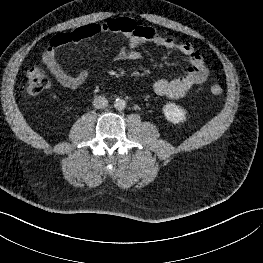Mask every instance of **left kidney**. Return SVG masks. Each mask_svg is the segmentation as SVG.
<instances>
[{
	"label": "left kidney",
	"mask_w": 263,
	"mask_h": 263,
	"mask_svg": "<svg viewBox=\"0 0 263 263\" xmlns=\"http://www.w3.org/2000/svg\"><path fill=\"white\" fill-rule=\"evenodd\" d=\"M163 112L166 119L173 123H183L186 120V112L174 103L164 105Z\"/></svg>",
	"instance_id": "5707ae66"
}]
</instances>
